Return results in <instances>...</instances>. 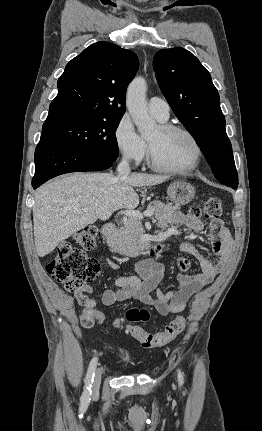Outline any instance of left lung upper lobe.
<instances>
[{"label": "left lung upper lobe", "mask_w": 262, "mask_h": 431, "mask_svg": "<svg viewBox=\"0 0 262 431\" xmlns=\"http://www.w3.org/2000/svg\"><path fill=\"white\" fill-rule=\"evenodd\" d=\"M153 67L162 93L196 140L215 177L236 189L238 175L220 97L207 69L183 48L158 51Z\"/></svg>", "instance_id": "left-lung-upper-lobe-1"}]
</instances>
